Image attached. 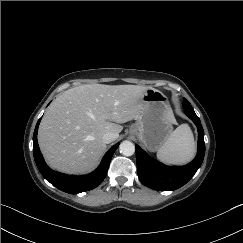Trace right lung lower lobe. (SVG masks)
<instances>
[{"label":"right lung lower lobe","instance_id":"98d812e1","mask_svg":"<svg viewBox=\"0 0 243 243\" xmlns=\"http://www.w3.org/2000/svg\"><path fill=\"white\" fill-rule=\"evenodd\" d=\"M41 118L38 120L33 135V154L37 167L42 176L56 188L70 193L77 194L96 188L105 178L113 153L119 146L114 145L103 157L99 167L92 173L84 176L66 175L51 170L45 163L37 142V132Z\"/></svg>","mask_w":243,"mask_h":243}]
</instances>
